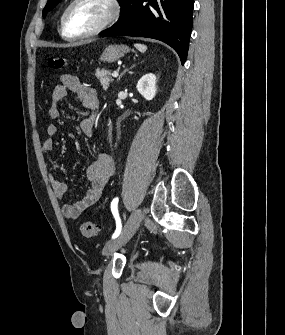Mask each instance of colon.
<instances>
[{
    "instance_id": "colon-1",
    "label": "colon",
    "mask_w": 285,
    "mask_h": 335,
    "mask_svg": "<svg viewBox=\"0 0 285 335\" xmlns=\"http://www.w3.org/2000/svg\"><path fill=\"white\" fill-rule=\"evenodd\" d=\"M67 65H68V61L62 57H52L48 61V66L56 70H62L66 68ZM80 230H81L82 235L87 238L94 237L97 234V227L92 222L82 223Z\"/></svg>"
}]
</instances>
